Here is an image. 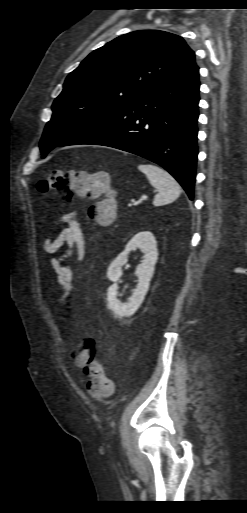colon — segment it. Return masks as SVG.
<instances>
[{
  "label": "colon",
  "instance_id": "1",
  "mask_svg": "<svg viewBox=\"0 0 247 513\" xmlns=\"http://www.w3.org/2000/svg\"><path fill=\"white\" fill-rule=\"evenodd\" d=\"M108 177L101 173H89L73 169L50 172L37 184L39 192L60 193L65 201L75 195L89 197L94 203L88 209V216L100 225L108 226L115 219L116 198L107 190ZM76 361V370L87 379L88 393L98 399L108 398L113 393V383L104 373L103 365L94 359L93 345L89 340H78L70 350Z\"/></svg>",
  "mask_w": 247,
  "mask_h": 513
}]
</instances>
